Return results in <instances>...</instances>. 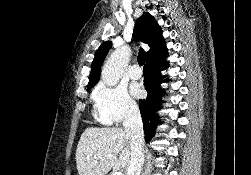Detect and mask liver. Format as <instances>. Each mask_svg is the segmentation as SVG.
<instances>
[{
	"label": "liver",
	"instance_id": "liver-1",
	"mask_svg": "<svg viewBox=\"0 0 251 175\" xmlns=\"http://www.w3.org/2000/svg\"><path fill=\"white\" fill-rule=\"evenodd\" d=\"M131 153L130 135L123 127H86L76 149L78 173L105 175L111 167L128 169Z\"/></svg>",
	"mask_w": 251,
	"mask_h": 175
}]
</instances>
